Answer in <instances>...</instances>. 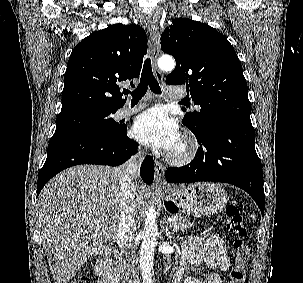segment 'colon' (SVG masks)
Wrapping results in <instances>:
<instances>
[{
  "instance_id": "1",
  "label": "colon",
  "mask_w": 303,
  "mask_h": 283,
  "mask_svg": "<svg viewBox=\"0 0 303 283\" xmlns=\"http://www.w3.org/2000/svg\"><path fill=\"white\" fill-rule=\"evenodd\" d=\"M227 229L235 236L233 248L235 252L234 265L230 271L228 283H244L246 270L252 254V246L247 239V228L235 204L226 208ZM88 272H83L71 283H90Z\"/></svg>"
}]
</instances>
